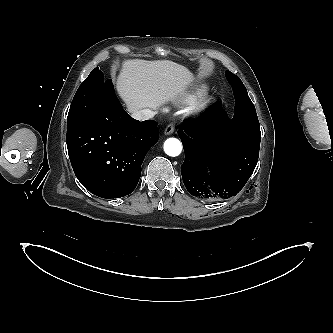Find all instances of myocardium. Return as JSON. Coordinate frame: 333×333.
Wrapping results in <instances>:
<instances>
[{
	"mask_svg": "<svg viewBox=\"0 0 333 333\" xmlns=\"http://www.w3.org/2000/svg\"><path fill=\"white\" fill-rule=\"evenodd\" d=\"M215 104V100L211 97L204 98L197 104L194 109L195 119H202L209 114Z\"/></svg>",
	"mask_w": 333,
	"mask_h": 333,
	"instance_id": "myocardium-1",
	"label": "myocardium"
}]
</instances>
